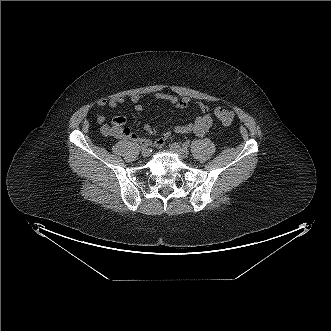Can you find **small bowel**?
Listing matches in <instances>:
<instances>
[{
    "label": "small bowel",
    "mask_w": 331,
    "mask_h": 331,
    "mask_svg": "<svg viewBox=\"0 0 331 331\" xmlns=\"http://www.w3.org/2000/svg\"><path fill=\"white\" fill-rule=\"evenodd\" d=\"M143 97L144 96L141 94H134L130 97V102L134 104V108L138 112H141L145 109L144 105L142 104ZM154 97L157 100L168 102L170 105L177 109H184L188 107L192 101L189 97L178 98L175 95L166 93H157ZM127 102L128 101L123 97H113L110 99L98 100L97 106L99 108L104 106L115 108ZM196 106L203 113V115L198 116L192 123L186 125H176L172 127L171 130L162 133L161 136L154 142V145L156 147H161L173 133L195 134L197 136L205 135L213 124V116L208 112L209 108L203 102H196ZM96 120L97 123L101 126L102 133L106 136L124 138L133 142H143V139L139 135L133 133L130 128L126 126V117L123 115H116L113 117L110 123H107L105 116L98 112ZM144 130L150 135L156 134V129L150 124H145Z\"/></svg>",
    "instance_id": "c3829d8e"
}]
</instances>
